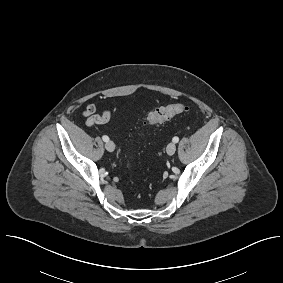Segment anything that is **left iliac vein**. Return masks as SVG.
Returning <instances> with one entry per match:
<instances>
[{
	"mask_svg": "<svg viewBox=\"0 0 283 283\" xmlns=\"http://www.w3.org/2000/svg\"><path fill=\"white\" fill-rule=\"evenodd\" d=\"M166 150L168 155H173L176 151V144L174 142L169 143Z\"/></svg>",
	"mask_w": 283,
	"mask_h": 283,
	"instance_id": "left-iliac-vein-1",
	"label": "left iliac vein"
}]
</instances>
